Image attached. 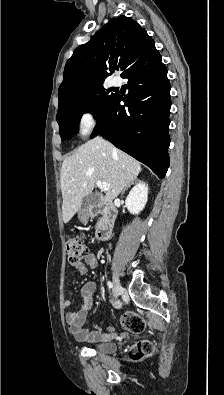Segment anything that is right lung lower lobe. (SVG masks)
Masks as SVG:
<instances>
[{"label": "right lung lower lobe", "mask_w": 224, "mask_h": 395, "mask_svg": "<svg viewBox=\"0 0 224 395\" xmlns=\"http://www.w3.org/2000/svg\"><path fill=\"white\" fill-rule=\"evenodd\" d=\"M122 78L128 79V94L122 98L116 93L91 138L103 136L162 179L169 167L171 87L156 48L133 63Z\"/></svg>", "instance_id": "obj_1"}]
</instances>
